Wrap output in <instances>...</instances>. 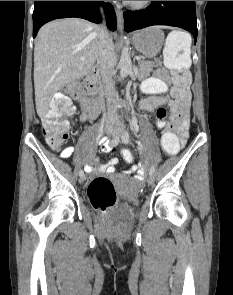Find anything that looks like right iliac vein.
I'll return each instance as SVG.
<instances>
[{"mask_svg": "<svg viewBox=\"0 0 233 295\" xmlns=\"http://www.w3.org/2000/svg\"><path fill=\"white\" fill-rule=\"evenodd\" d=\"M115 132H116V129L113 126L108 125V126L105 127V133L107 135H111V134L114 135ZM85 180H86V176L85 175L80 176V179H79V182L80 183H83Z\"/></svg>", "mask_w": 233, "mask_h": 295, "instance_id": "right-iliac-vein-1", "label": "right iliac vein"}]
</instances>
